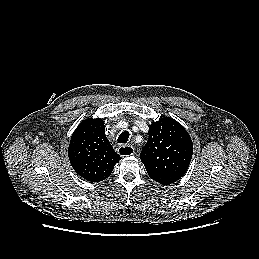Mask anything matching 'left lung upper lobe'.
Segmentation results:
<instances>
[{
	"instance_id": "left-lung-upper-lobe-1",
	"label": "left lung upper lobe",
	"mask_w": 259,
	"mask_h": 259,
	"mask_svg": "<svg viewBox=\"0 0 259 259\" xmlns=\"http://www.w3.org/2000/svg\"><path fill=\"white\" fill-rule=\"evenodd\" d=\"M148 135L140 155L148 175L153 180L164 175L184 176L193 153L192 140L185 128L165 117L150 125Z\"/></svg>"
}]
</instances>
